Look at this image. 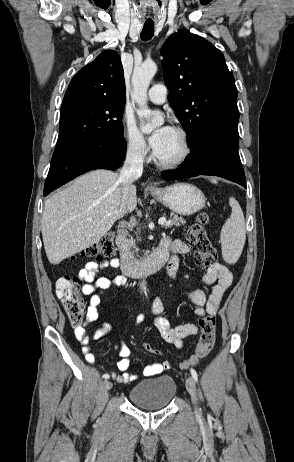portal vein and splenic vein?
Listing matches in <instances>:
<instances>
[{
	"instance_id": "portal-vein-and-splenic-vein-1",
	"label": "portal vein and splenic vein",
	"mask_w": 294,
	"mask_h": 462,
	"mask_svg": "<svg viewBox=\"0 0 294 462\" xmlns=\"http://www.w3.org/2000/svg\"><path fill=\"white\" fill-rule=\"evenodd\" d=\"M158 223H159L160 225H166V224H169L170 222L167 221L166 218H160V219L158 220Z\"/></svg>"
}]
</instances>
